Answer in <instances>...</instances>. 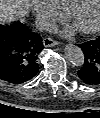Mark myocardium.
I'll return each instance as SVG.
<instances>
[{"mask_svg":"<svg viewBox=\"0 0 100 118\" xmlns=\"http://www.w3.org/2000/svg\"><path fill=\"white\" fill-rule=\"evenodd\" d=\"M89 0H78L77 2H75L67 11H66V18L67 20H72V18L74 17V15L83 7L88 3ZM100 2V0H99ZM100 30V6H99V10H98V15H97V19L95 24L87 29H82L79 30L81 34L83 35H92L95 34L96 32H98Z\"/></svg>","mask_w":100,"mask_h":118,"instance_id":"myocardium-1","label":"myocardium"}]
</instances>
